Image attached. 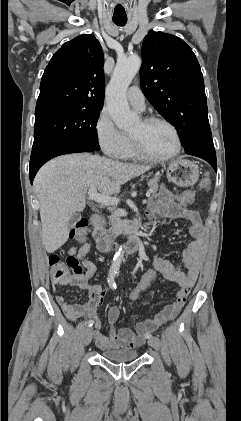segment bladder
I'll return each mask as SVG.
<instances>
[{
  "label": "bladder",
  "mask_w": 241,
  "mask_h": 421,
  "mask_svg": "<svg viewBox=\"0 0 241 421\" xmlns=\"http://www.w3.org/2000/svg\"><path fill=\"white\" fill-rule=\"evenodd\" d=\"M101 356L112 362H129L138 357V352L132 350H105L101 352Z\"/></svg>",
  "instance_id": "obj_1"
}]
</instances>
